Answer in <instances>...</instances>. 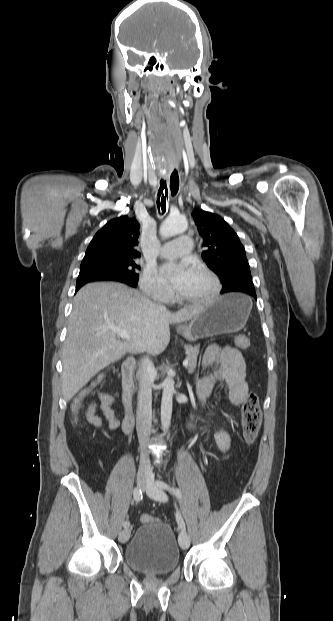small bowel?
<instances>
[{
    "label": "small bowel",
    "instance_id": "obj_1",
    "mask_svg": "<svg viewBox=\"0 0 333 621\" xmlns=\"http://www.w3.org/2000/svg\"><path fill=\"white\" fill-rule=\"evenodd\" d=\"M202 364L206 368L213 370L196 382V394L200 402H203L213 392L216 384L224 381L229 391V401L233 405L241 404L248 394V383L246 381V363L239 351L234 348L209 347L203 356ZM100 409L108 420L110 430L119 427L112 404L114 397L108 393L100 392ZM87 421L97 428H103L104 423L101 417L96 415V403L90 402L86 410ZM230 436L227 432L221 431L216 436V442L222 452H226L230 447Z\"/></svg>",
    "mask_w": 333,
    "mask_h": 621
}]
</instances>
